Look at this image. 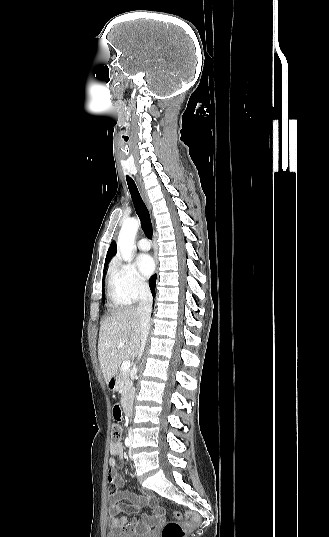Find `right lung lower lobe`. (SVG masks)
Masks as SVG:
<instances>
[{
	"instance_id": "right-lung-lower-lobe-1",
	"label": "right lung lower lobe",
	"mask_w": 329,
	"mask_h": 537,
	"mask_svg": "<svg viewBox=\"0 0 329 537\" xmlns=\"http://www.w3.org/2000/svg\"><path fill=\"white\" fill-rule=\"evenodd\" d=\"M156 278H157V276L154 275V276L151 277V279H150V281H149L150 290H151L153 296H155V282H156Z\"/></svg>"
}]
</instances>
